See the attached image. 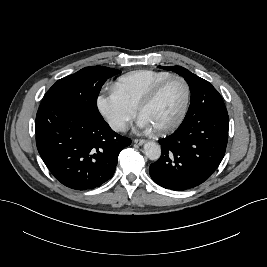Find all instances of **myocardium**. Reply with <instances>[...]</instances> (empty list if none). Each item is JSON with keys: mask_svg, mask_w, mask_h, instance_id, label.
Segmentation results:
<instances>
[{"mask_svg": "<svg viewBox=\"0 0 267 267\" xmlns=\"http://www.w3.org/2000/svg\"><path fill=\"white\" fill-rule=\"evenodd\" d=\"M174 79H177V80L181 81L182 84L184 85V88H185L184 104H183V107H182V110H181L180 114L178 115V117L172 123H170V124H168L166 126L154 128V131L157 134L170 133V132L174 131L175 129H177L182 124V122L184 121V119L186 117V114L188 112V109H189L190 98H191V89H190V85L187 82V80L181 75L171 74V75L167 76L166 78H164V79L160 80L158 83H156L150 89V91L141 100V102L139 103V105L137 107V112H138L139 115H141L143 110L146 107H148L151 103L154 102V100L159 95L161 89L164 87V85L166 83H168L169 81L174 80Z\"/></svg>", "mask_w": 267, "mask_h": 267, "instance_id": "f54148a6", "label": "myocardium"}]
</instances>
